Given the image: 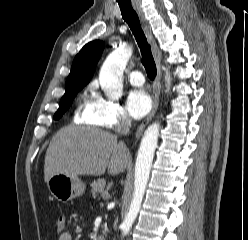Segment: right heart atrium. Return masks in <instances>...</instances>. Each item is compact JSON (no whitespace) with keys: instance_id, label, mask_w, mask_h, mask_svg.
Instances as JSON below:
<instances>
[{"instance_id":"d8ad5b80","label":"right heart atrium","mask_w":248,"mask_h":240,"mask_svg":"<svg viewBox=\"0 0 248 240\" xmlns=\"http://www.w3.org/2000/svg\"><path fill=\"white\" fill-rule=\"evenodd\" d=\"M92 88L95 89L96 86L93 85ZM83 117L87 123L106 129L130 125V119L119 103L96 92L84 109Z\"/></svg>"}]
</instances>
